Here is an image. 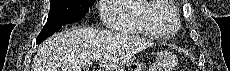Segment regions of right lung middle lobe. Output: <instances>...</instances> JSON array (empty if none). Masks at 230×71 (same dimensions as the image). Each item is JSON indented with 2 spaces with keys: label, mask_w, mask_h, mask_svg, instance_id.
Masks as SVG:
<instances>
[{
  "label": "right lung middle lobe",
  "mask_w": 230,
  "mask_h": 71,
  "mask_svg": "<svg viewBox=\"0 0 230 71\" xmlns=\"http://www.w3.org/2000/svg\"><path fill=\"white\" fill-rule=\"evenodd\" d=\"M95 0H50V12L43 28L74 23L82 19Z\"/></svg>",
  "instance_id": "right-lung-middle-lobe-1"
}]
</instances>
